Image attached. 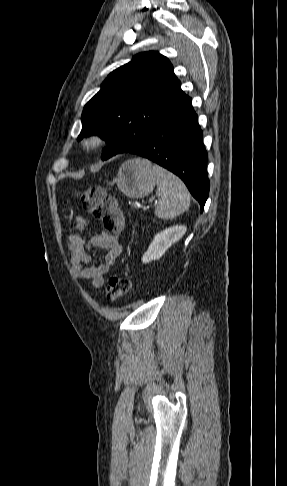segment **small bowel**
I'll return each mask as SVG.
<instances>
[{"instance_id":"small-bowel-1","label":"small bowel","mask_w":287,"mask_h":486,"mask_svg":"<svg viewBox=\"0 0 287 486\" xmlns=\"http://www.w3.org/2000/svg\"><path fill=\"white\" fill-rule=\"evenodd\" d=\"M76 227L79 233L70 234L68 237L71 272L77 279L89 280L93 287L100 288L104 284V276L121 255L122 245L116 236L105 231L87 238L85 233L90 227V221L86 217H76ZM93 248L105 252L104 261L89 266L92 260L89 250Z\"/></svg>"}]
</instances>
